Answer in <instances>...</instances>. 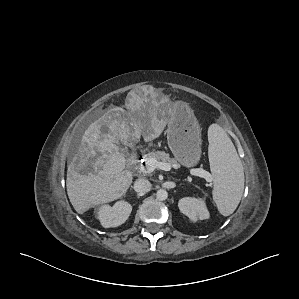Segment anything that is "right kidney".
I'll list each match as a JSON object with an SVG mask.
<instances>
[{"mask_svg": "<svg viewBox=\"0 0 299 299\" xmlns=\"http://www.w3.org/2000/svg\"><path fill=\"white\" fill-rule=\"evenodd\" d=\"M131 211V204L120 200L113 206L107 204L100 206L97 217L104 228L118 227L128 219Z\"/></svg>", "mask_w": 299, "mask_h": 299, "instance_id": "ca27d5eb", "label": "right kidney"}]
</instances>
